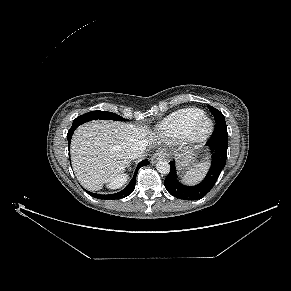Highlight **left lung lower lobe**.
<instances>
[{
	"label": "left lung lower lobe",
	"instance_id": "left-lung-lower-lobe-1",
	"mask_svg": "<svg viewBox=\"0 0 291 291\" xmlns=\"http://www.w3.org/2000/svg\"><path fill=\"white\" fill-rule=\"evenodd\" d=\"M212 151V163L206 177L195 186H185L178 182L174 163L170 162L171 170L167 175L164 185L167 191L177 198L187 196L185 200H198L204 197L215 185L227 158V129L216 127L212 137L208 140Z\"/></svg>",
	"mask_w": 291,
	"mask_h": 291
}]
</instances>
